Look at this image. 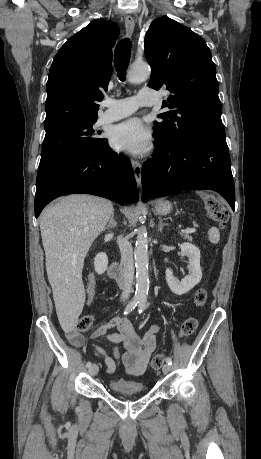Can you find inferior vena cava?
Listing matches in <instances>:
<instances>
[{
	"label": "inferior vena cava",
	"instance_id": "inferior-vena-cava-1",
	"mask_svg": "<svg viewBox=\"0 0 261 459\" xmlns=\"http://www.w3.org/2000/svg\"><path fill=\"white\" fill-rule=\"evenodd\" d=\"M118 246L120 248L121 262L123 265L121 300L125 301L130 296L134 279L133 249L128 238H123V236L118 238Z\"/></svg>",
	"mask_w": 261,
	"mask_h": 459
}]
</instances>
